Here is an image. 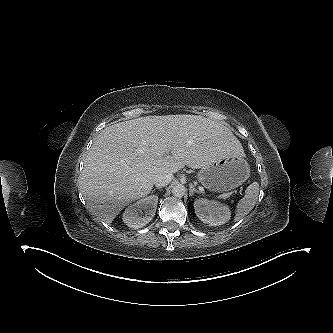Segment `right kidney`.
I'll return each mask as SVG.
<instances>
[{
  "label": "right kidney",
  "mask_w": 333,
  "mask_h": 333,
  "mask_svg": "<svg viewBox=\"0 0 333 333\" xmlns=\"http://www.w3.org/2000/svg\"><path fill=\"white\" fill-rule=\"evenodd\" d=\"M158 196L150 195L129 206L123 213V222L130 228L138 229L149 223L155 216ZM142 210L145 215L140 216Z\"/></svg>",
  "instance_id": "1"
}]
</instances>
